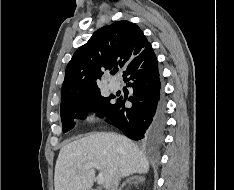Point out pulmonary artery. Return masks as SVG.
Here are the masks:
<instances>
[{"mask_svg": "<svg viewBox=\"0 0 234 190\" xmlns=\"http://www.w3.org/2000/svg\"><path fill=\"white\" fill-rule=\"evenodd\" d=\"M110 89L112 91H117L118 89H120V84L119 83H110Z\"/></svg>", "mask_w": 234, "mask_h": 190, "instance_id": "1", "label": "pulmonary artery"}]
</instances>
